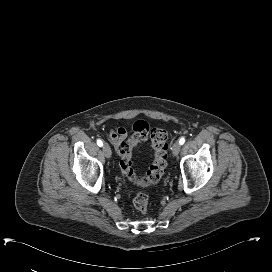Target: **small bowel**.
<instances>
[{
	"mask_svg": "<svg viewBox=\"0 0 272 272\" xmlns=\"http://www.w3.org/2000/svg\"><path fill=\"white\" fill-rule=\"evenodd\" d=\"M127 138H128V132L122 126L117 127L114 130H111L108 134V140L114 145L118 153H119L121 144L127 141Z\"/></svg>",
	"mask_w": 272,
	"mask_h": 272,
	"instance_id": "1",
	"label": "small bowel"
}]
</instances>
